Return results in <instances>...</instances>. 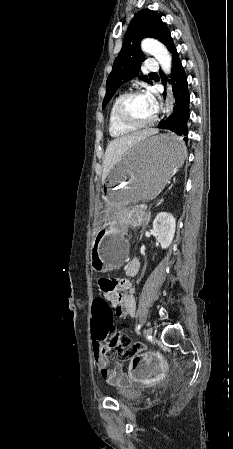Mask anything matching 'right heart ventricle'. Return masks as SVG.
I'll return each instance as SVG.
<instances>
[{
    "mask_svg": "<svg viewBox=\"0 0 233 449\" xmlns=\"http://www.w3.org/2000/svg\"><path fill=\"white\" fill-rule=\"evenodd\" d=\"M123 93H119L111 103L109 114H108V130L109 134L113 138H120L131 134L135 129H130L122 126L115 117V106Z\"/></svg>",
    "mask_w": 233,
    "mask_h": 449,
    "instance_id": "1",
    "label": "right heart ventricle"
}]
</instances>
